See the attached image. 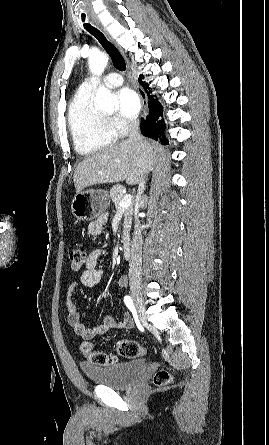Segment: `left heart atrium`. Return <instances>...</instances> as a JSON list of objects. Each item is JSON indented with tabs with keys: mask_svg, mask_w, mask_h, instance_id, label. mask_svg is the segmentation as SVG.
I'll return each instance as SVG.
<instances>
[{
	"mask_svg": "<svg viewBox=\"0 0 269 445\" xmlns=\"http://www.w3.org/2000/svg\"><path fill=\"white\" fill-rule=\"evenodd\" d=\"M119 111L123 117L135 118L140 109L138 94L129 87L122 88L117 93Z\"/></svg>",
	"mask_w": 269,
	"mask_h": 445,
	"instance_id": "left-heart-atrium-1",
	"label": "left heart atrium"
}]
</instances>
